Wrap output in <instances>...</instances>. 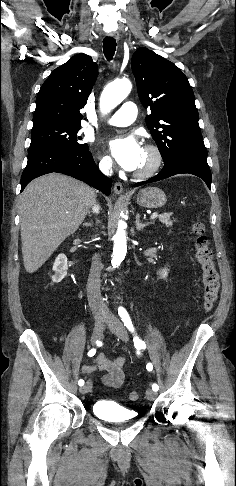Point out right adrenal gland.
Masks as SVG:
<instances>
[{"label":"right adrenal gland","instance_id":"obj_1","mask_svg":"<svg viewBox=\"0 0 236 486\" xmlns=\"http://www.w3.org/2000/svg\"><path fill=\"white\" fill-rule=\"evenodd\" d=\"M83 226L84 227H92L93 226V223H91V222H85V223H83Z\"/></svg>","mask_w":236,"mask_h":486}]
</instances>
